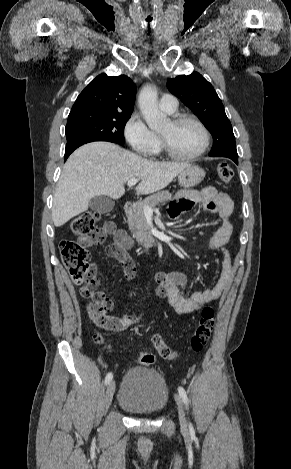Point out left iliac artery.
Wrapping results in <instances>:
<instances>
[{
	"label": "left iliac artery",
	"instance_id": "44dca946",
	"mask_svg": "<svg viewBox=\"0 0 291 469\" xmlns=\"http://www.w3.org/2000/svg\"><path fill=\"white\" fill-rule=\"evenodd\" d=\"M178 392H179V395H180V397L182 398L184 404L187 406V404H188V397H187V394H186L185 389L180 386V387L178 388ZM189 426L191 427V424H189Z\"/></svg>",
	"mask_w": 291,
	"mask_h": 469
}]
</instances>
